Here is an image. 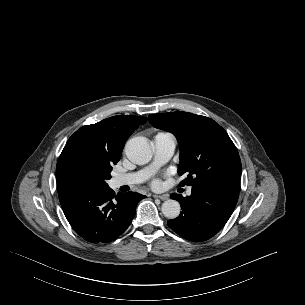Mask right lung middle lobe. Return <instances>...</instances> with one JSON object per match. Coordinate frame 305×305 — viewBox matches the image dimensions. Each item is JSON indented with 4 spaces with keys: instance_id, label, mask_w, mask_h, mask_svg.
I'll use <instances>...</instances> for the list:
<instances>
[{
    "instance_id": "obj_1",
    "label": "right lung middle lobe",
    "mask_w": 305,
    "mask_h": 305,
    "mask_svg": "<svg viewBox=\"0 0 305 305\" xmlns=\"http://www.w3.org/2000/svg\"><path fill=\"white\" fill-rule=\"evenodd\" d=\"M118 161L93 145L76 143L58 161L57 176L70 189H104L108 187L112 165Z\"/></svg>"
}]
</instances>
